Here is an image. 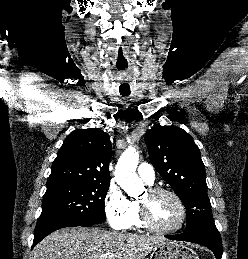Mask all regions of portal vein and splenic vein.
<instances>
[{
    "label": "portal vein and splenic vein",
    "mask_w": 248,
    "mask_h": 259,
    "mask_svg": "<svg viewBox=\"0 0 248 259\" xmlns=\"http://www.w3.org/2000/svg\"><path fill=\"white\" fill-rule=\"evenodd\" d=\"M106 258H107V254L100 256V259H106Z\"/></svg>",
    "instance_id": "1"
}]
</instances>
